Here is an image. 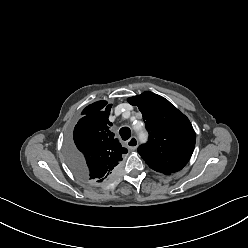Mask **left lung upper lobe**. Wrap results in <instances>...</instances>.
<instances>
[{
	"label": "left lung upper lobe",
	"instance_id": "5c2ea615",
	"mask_svg": "<svg viewBox=\"0 0 248 248\" xmlns=\"http://www.w3.org/2000/svg\"><path fill=\"white\" fill-rule=\"evenodd\" d=\"M127 101L139 108L149 133L148 142L137 149L145 163L163 174L181 170L195 147L189 119L168 100L149 91Z\"/></svg>",
	"mask_w": 248,
	"mask_h": 248
}]
</instances>
